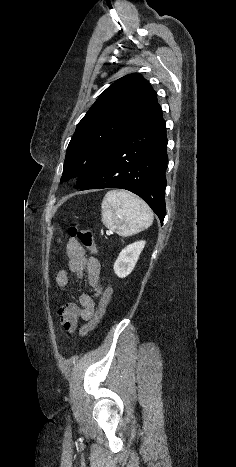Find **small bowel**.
Returning <instances> with one entry per match:
<instances>
[{
  "mask_svg": "<svg viewBox=\"0 0 236 467\" xmlns=\"http://www.w3.org/2000/svg\"><path fill=\"white\" fill-rule=\"evenodd\" d=\"M67 269L74 273L77 278L87 274L89 284L95 288L98 294L103 295L110 289L102 290L100 287L101 265L95 257H88L82 246L71 239L67 243ZM56 283L59 288L66 290L69 285L67 270H60L56 275ZM95 313V298L88 294H82L78 298V304L67 303L58 310L61 326L67 332H73L79 319L89 321Z\"/></svg>",
  "mask_w": 236,
  "mask_h": 467,
  "instance_id": "obj_1",
  "label": "small bowel"
}]
</instances>
